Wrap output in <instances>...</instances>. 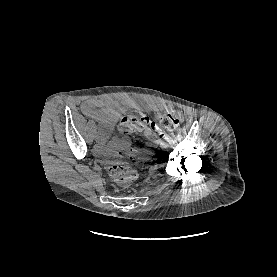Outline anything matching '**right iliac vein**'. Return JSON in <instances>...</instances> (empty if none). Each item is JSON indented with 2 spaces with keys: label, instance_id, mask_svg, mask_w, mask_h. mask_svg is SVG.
I'll list each match as a JSON object with an SVG mask.
<instances>
[{
  "label": "right iliac vein",
  "instance_id": "right-iliac-vein-1",
  "mask_svg": "<svg viewBox=\"0 0 277 277\" xmlns=\"http://www.w3.org/2000/svg\"><path fill=\"white\" fill-rule=\"evenodd\" d=\"M95 140L99 142L100 137L99 136H95Z\"/></svg>",
  "mask_w": 277,
  "mask_h": 277
}]
</instances>
